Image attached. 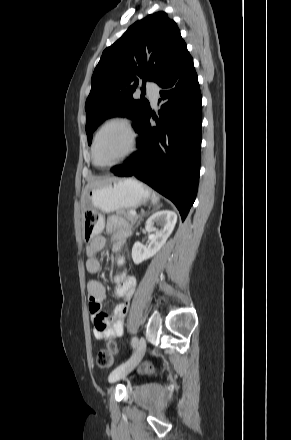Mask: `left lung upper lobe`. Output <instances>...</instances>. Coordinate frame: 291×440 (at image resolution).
I'll use <instances>...</instances> for the list:
<instances>
[{
	"mask_svg": "<svg viewBox=\"0 0 291 440\" xmlns=\"http://www.w3.org/2000/svg\"><path fill=\"white\" fill-rule=\"evenodd\" d=\"M177 24L165 12H157L135 22L113 45L106 48L91 79L86 100V133H92L102 120L113 116L132 119L136 132L150 110L146 99H133L139 89L138 77L157 84L187 53Z\"/></svg>",
	"mask_w": 291,
	"mask_h": 440,
	"instance_id": "left-lung-upper-lobe-1",
	"label": "left lung upper lobe"
}]
</instances>
